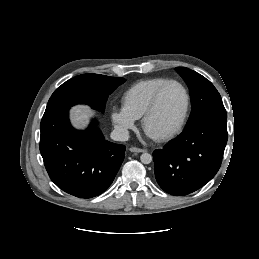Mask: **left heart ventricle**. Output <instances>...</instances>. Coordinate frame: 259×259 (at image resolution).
<instances>
[{"label":"left heart ventricle","instance_id":"b2bd125f","mask_svg":"<svg viewBox=\"0 0 259 259\" xmlns=\"http://www.w3.org/2000/svg\"><path fill=\"white\" fill-rule=\"evenodd\" d=\"M185 108V94L180 86H167L160 97L156 112L149 119L147 132L153 137L171 131L180 121Z\"/></svg>","mask_w":259,"mask_h":259}]
</instances>
